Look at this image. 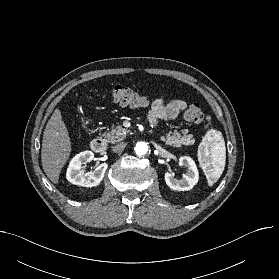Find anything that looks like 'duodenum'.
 Masks as SVG:
<instances>
[{
	"label": "duodenum",
	"mask_w": 279,
	"mask_h": 279,
	"mask_svg": "<svg viewBox=\"0 0 279 279\" xmlns=\"http://www.w3.org/2000/svg\"><path fill=\"white\" fill-rule=\"evenodd\" d=\"M106 141L102 138H95L91 141V149L96 153H103L106 150Z\"/></svg>",
	"instance_id": "1"
}]
</instances>
